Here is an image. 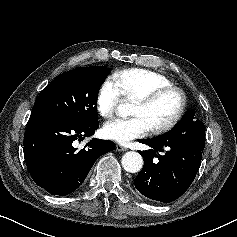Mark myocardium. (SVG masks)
<instances>
[{
    "label": "myocardium",
    "instance_id": "f54148a6",
    "mask_svg": "<svg viewBox=\"0 0 237 237\" xmlns=\"http://www.w3.org/2000/svg\"><path fill=\"white\" fill-rule=\"evenodd\" d=\"M169 93H175L178 95V97H179L178 109H177L176 113L174 114V116L169 121H167L164 124L152 127L150 129V132L153 135H159V134H162V133H165V132L171 130L180 121V119L182 118V116L185 112L186 105H187V98H186L184 91L176 86L159 87V88L153 89L152 91L138 97L135 100L136 103H140L143 105H149V104H152L153 102H155L160 97H162L166 94H169Z\"/></svg>",
    "mask_w": 237,
    "mask_h": 237
}]
</instances>
